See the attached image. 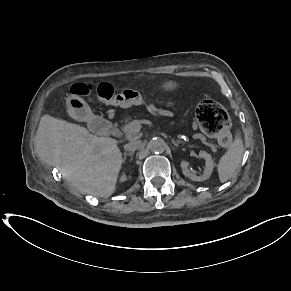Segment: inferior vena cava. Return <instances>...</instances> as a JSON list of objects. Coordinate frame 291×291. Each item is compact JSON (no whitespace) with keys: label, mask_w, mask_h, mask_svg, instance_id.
Instances as JSON below:
<instances>
[{"label":"inferior vena cava","mask_w":291,"mask_h":291,"mask_svg":"<svg viewBox=\"0 0 291 291\" xmlns=\"http://www.w3.org/2000/svg\"><path fill=\"white\" fill-rule=\"evenodd\" d=\"M141 146V141L140 140H134V141H131L127 144L124 145V149L126 151H132L134 152L135 150H137L138 148H140Z\"/></svg>","instance_id":"obj_1"}]
</instances>
